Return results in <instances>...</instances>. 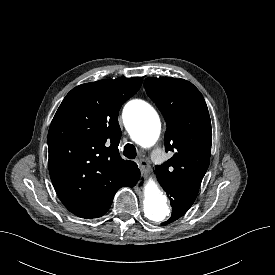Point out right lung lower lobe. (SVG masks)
<instances>
[{
    "label": "right lung lower lobe",
    "instance_id": "obj_1",
    "mask_svg": "<svg viewBox=\"0 0 275 275\" xmlns=\"http://www.w3.org/2000/svg\"><path fill=\"white\" fill-rule=\"evenodd\" d=\"M139 178H140V171H139V169H136L130 175V177L127 180L125 186L133 187L137 183V181L139 180Z\"/></svg>",
    "mask_w": 275,
    "mask_h": 275
}]
</instances>
